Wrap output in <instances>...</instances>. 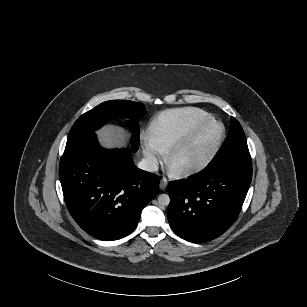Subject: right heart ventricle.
Here are the masks:
<instances>
[{"mask_svg": "<svg viewBox=\"0 0 307 307\" xmlns=\"http://www.w3.org/2000/svg\"><path fill=\"white\" fill-rule=\"evenodd\" d=\"M212 119L210 113L198 108L169 109L153 118L149 130L154 144L168 152Z\"/></svg>", "mask_w": 307, "mask_h": 307, "instance_id": "e07e8e85", "label": "right heart ventricle"}]
</instances>
